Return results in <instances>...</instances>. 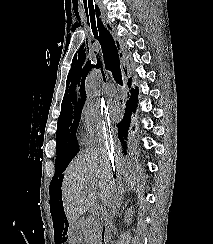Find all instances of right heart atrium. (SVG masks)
Returning a JSON list of instances; mask_svg holds the SVG:
<instances>
[{"mask_svg": "<svg viewBox=\"0 0 213 244\" xmlns=\"http://www.w3.org/2000/svg\"><path fill=\"white\" fill-rule=\"evenodd\" d=\"M80 121L83 128L81 140L86 145L99 144L112 132L106 114L98 103L85 102L81 109Z\"/></svg>", "mask_w": 213, "mask_h": 244, "instance_id": "d8ad5b80", "label": "right heart atrium"}]
</instances>
